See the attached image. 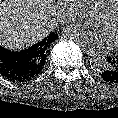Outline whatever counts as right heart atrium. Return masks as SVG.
<instances>
[{"mask_svg": "<svg viewBox=\"0 0 118 118\" xmlns=\"http://www.w3.org/2000/svg\"><path fill=\"white\" fill-rule=\"evenodd\" d=\"M78 0H61L57 18L61 23H69L77 18L76 4Z\"/></svg>", "mask_w": 118, "mask_h": 118, "instance_id": "d8ad5b80", "label": "right heart atrium"}]
</instances>
